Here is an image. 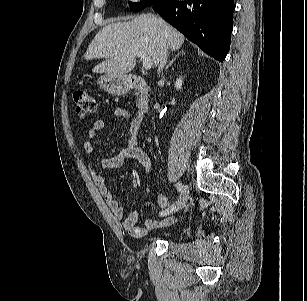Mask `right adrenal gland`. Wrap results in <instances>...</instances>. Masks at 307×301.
<instances>
[{
  "mask_svg": "<svg viewBox=\"0 0 307 301\" xmlns=\"http://www.w3.org/2000/svg\"><path fill=\"white\" fill-rule=\"evenodd\" d=\"M179 54L183 55V54H184V51L181 50L177 55H175L174 59H172V60L168 63V65L166 66V69H168V68L173 64V62L176 60V58L179 56Z\"/></svg>",
  "mask_w": 307,
  "mask_h": 301,
  "instance_id": "obj_1",
  "label": "right adrenal gland"
}]
</instances>
